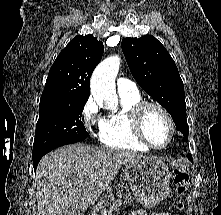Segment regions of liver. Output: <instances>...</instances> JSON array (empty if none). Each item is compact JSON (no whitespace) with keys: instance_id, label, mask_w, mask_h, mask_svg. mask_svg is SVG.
Returning <instances> with one entry per match:
<instances>
[{"instance_id":"6515ba94","label":"liver","mask_w":221,"mask_h":215,"mask_svg":"<svg viewBox=\"0 0 221 215\" xmlns=\"http://www.w3.org/2000/svg\"><path fill=\"white\" fill-rule=\"evenodd\" d=\"M141 159L147 157L84 144L48 153L36 171L37 215H66L72 207L87 209L112 183L121 165Z\"/></svg>"}]
</instances>
